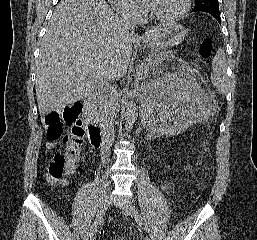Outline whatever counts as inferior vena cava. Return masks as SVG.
I'll return each instance as SVG.
<instances>
[{
  "instance_id": "1",
  "label": "inferior vena cava",
  "mask_w": 257,
  "mask_h": 240,
  "mask_svg": "<svg viewBox=\"0 0 257 240\" xmlns=\"http://www.w3.org/2000/svg\"><path fill=\"white\" fill-rule=\"evenodd\" d=\"M122 29L124 31H134L135 23L129 18L122 19ZM106 99V107L104 112L103 131L108 138V143L111 144L114 139V124L116 118V111L118 106V90L115 85H106L104 90Z\"/></svg>"
}]
</instances>
